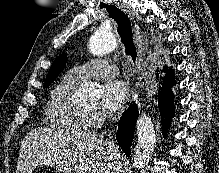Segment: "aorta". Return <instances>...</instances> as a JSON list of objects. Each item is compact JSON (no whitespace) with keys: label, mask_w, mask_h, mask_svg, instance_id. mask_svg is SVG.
Returning a JSON list of instances; mask_svg holds the SVG:
<instances>
[{"label":"aorta","mask_w":219,"mask_h":173,"mask_svg":"<svg viewBox=\"0 0 219 173\" xmlns=\"http://www.w3.org/2000/svg\"><path fill=\"white\" fill-rule=\"evenodd\" d=\"M89 51L94 56H101L113 51L117 46V40L110 29H97L89 39ZM79 94L83 98H93L100 94V87L92 82H85L79 88ZM138 144L133 157L134 170H141L148 165L156 142L155 131L151 118L142 114L136 123Z\"/></svg>","instance_id":"aorta-1"}]
</instances>
